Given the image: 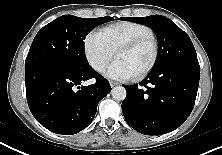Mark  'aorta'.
<instances>
[{"label":"aorta","instance_id":"762f6f07","mask_svg":"<svg viewBox=\"0 0 222 155\" xmlns=\"http://www.w3.org/2000/svg\"><path fill=\"white\" fill-rule=\"evenodd\" d=\"M112 97L115 100L122 101L126 98V90L122 86L114 87L111 91Z\"/></svg>","mask_w":222,"mask_h":155}]
</instances>
